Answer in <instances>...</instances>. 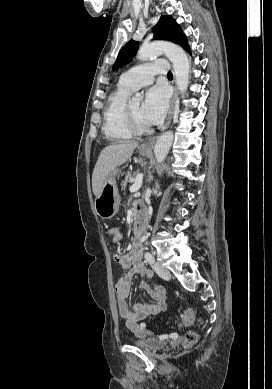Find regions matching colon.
<instances>
[{
    "label": "colon",
    "mask_w": 272,
    "mask_h": 389,
    "mask_svg": "<svg viewBox=\"0 0 272 389\" xmlns=\"http://www.w3.org/2000/svg\"><path fill=\"white\" fill-rule=\"evenodd\" d=\"M109 237L114 243H118L121 240V232L118 228L112 227L108 231ZM194 319V313L192 310H186L182 316L181 325L188 326ZM199 340V334L196 331H189L186 333L184 338V346L191 347L196 344Z\"/></svg>",
    "instance_id": "1"
}]
</instances>
